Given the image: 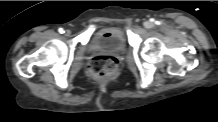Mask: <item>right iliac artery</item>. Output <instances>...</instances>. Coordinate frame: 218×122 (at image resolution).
<instances>
[{"instance_id": "right-iliac-artery-1", "label": "right iliac artery", "mask_w": 218, "mask_h": 122, "mask_svg": "<svg viewBox=\"0 0 218 122\" xmlns=\"http://www.w3.org/2000/svg\"><path fill=\"white\" fill-rule=\"evenodd\" d=\"M58 31H59V33H61V34L64 33V29H63V28H59Z\"/></svg>"}]
</instances>
